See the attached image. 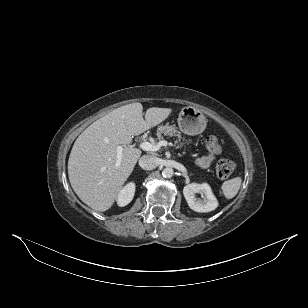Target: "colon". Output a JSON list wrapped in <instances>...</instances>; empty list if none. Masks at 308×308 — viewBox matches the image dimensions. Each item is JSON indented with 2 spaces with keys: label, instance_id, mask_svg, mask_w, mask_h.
<instances>
[{
  "label": "colon",
  "instance_id": "obj_1",
  "mask_svg": "<svg viewBox=\"0 0 308 308\" xmlns=\"http://www.w3.org/2000/svg\"><path fill=\"white\" fill-rule=\"evenodd\" d=\"M205 148L210 154H219L222 145L216 136H208L205 140ZM234 168L235 165L231 160L222 159L217 163L216 174L220 179H227L232 175Z\"/></svg>",
  "mask_w": 308,
  "mask_h": 308
}]
</instances>
